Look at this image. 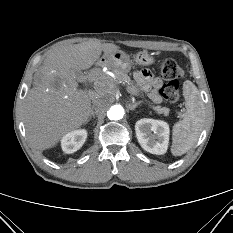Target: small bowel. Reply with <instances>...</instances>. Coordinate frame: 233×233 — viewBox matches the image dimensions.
<instances>
[{
    "label": "small bowel",
    "mask_w": 233,
    "mask_h": 233,
    "mask_svg": "<svg viewBox=\"0 0 233 233\" xmlns=\"http://www.w3.org/2000/svg\"><path fill=\"white\" fill-rule=\"evenodd\" d=\"M135 79L139 83L141 89L148 93L149 98L154 103L161 102L159 89L162 85L160 78L154 76L149 70H139L135 73Z\"/></svg>",
    "instance_id": "1"
}]
</instances>
